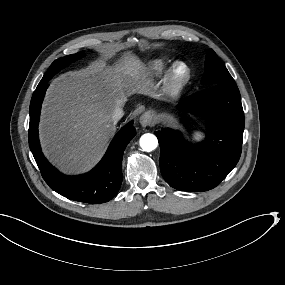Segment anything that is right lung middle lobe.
<instances>
[{
    "instance_id": "1",
    "label": "right lung middle lobe",
    "mask_w": 285,
    "mask_h": 285,
    "mask_svg": "<svg viewBox=\"0 0 285 285\" xmlns=\"http://www.w3.org/2000/svg\"><path fill=\"white\" fill-rule=\"evenodd\" d=\"M84 56V52L81 51L77 54H73V55H68L62 58H59L57 60H55L51 66L49 67V69L47 70V72L45 73V75L43 76L42 80L40 81L39 84L44 85L46 83H48V81L62 68L68 66L70 63L76 61L77 59L81 58Z\"/></svg>"
}]
</instances>
